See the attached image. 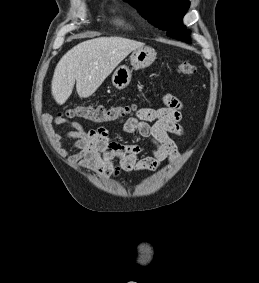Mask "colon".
Listing matches in <instances>:
<instances>
[{"label":"colon","mask_w":259,"mask_h":283,"mask_svg":"<svg viewBox=\"0 0 259 283\" xmlns=\"http://www.w3.org/2000/svg\"><path fill=\"white\" fill-rule=\"evenodd\" d=\"M177 71L182 75H193L196 72L194 64L183 61L178 63ZM132 111V107L129 105H112V106H91L78 104L65 112L61 113L60 116H66L68 118H81L93 123H111L118 121L128 115Z\"/></svg>","instance_id":"obj_1"}]
</instances>
